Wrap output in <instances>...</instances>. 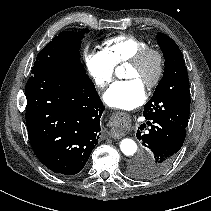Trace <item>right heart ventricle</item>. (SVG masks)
Wrapping results in <instances>:
<instances>
[{
    "mask_svg": "<svg viewBox=\"0 0 211 211\" xmlns=\"http://www.w3.org/2000/svg\"><path fill=\"white\" fill-rule=\"evenodd\" d=\"M104 52L116 65L127 62L137 51L148 46L146 41L133 35H119L104 41Z\"/></svg>",
    "mask_w": 211,
    "mask_h": 211,
    "instance_id": "1",
    "label": "right heart ventricle"
}]
</instances>
